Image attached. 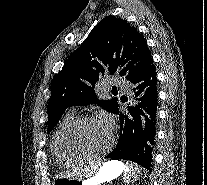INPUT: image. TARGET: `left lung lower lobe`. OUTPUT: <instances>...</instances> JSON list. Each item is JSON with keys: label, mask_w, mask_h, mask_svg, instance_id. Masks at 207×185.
Here are the masks:
<instances>
[{"label": "left lung lower lobe", "mask_w": 207, "mask_h": 185, "mask_svg": "<svg viewBox=\"0 0 207 185\" xmlns=\"http://www.w3.org/2000/svg\"><path fill=\"white\" fill-rule=\"evenodd\" d=\"M134 106H128L129 114L120 115V136L116 148L105 158L133 161L151 171L157 124V77L154 65L134 77ZM126 102L125 96L121 97Z\"/></svg>", "instance_id": "1"}]
</instances>
